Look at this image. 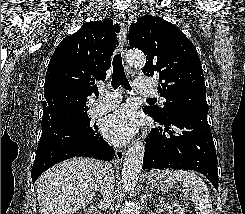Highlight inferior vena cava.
I'll return each instance as SVG.
<instances>
[{
    "label": "inferior vena cava",
    "mask_w": 245,
    "mask_h": 214,
    "mask_svg": "<svg viewBox=\"0 0 245 214\" xmlns=\"http://www.w3.org/2000/svg\"><path fill=\"white\" fill-rule=\"evenodd\" d=\"M114 184H115L114 172L112 170V166L108 164L106 166V172L100 183L101 194L103 196V203L107 207H110L113 200Z\"/></svg>",
    "instance_id": "1"
}]
</instances>
